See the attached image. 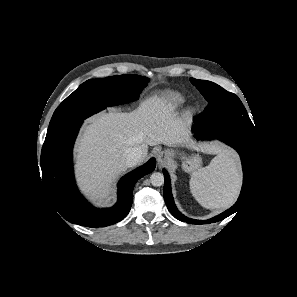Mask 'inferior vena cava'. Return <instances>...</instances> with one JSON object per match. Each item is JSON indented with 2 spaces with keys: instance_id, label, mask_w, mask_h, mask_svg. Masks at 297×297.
Segmentation results:
<instances>
[{
  "instance_id": "602c4592",
  "label": "inferior vena cava",
  "mask_w": 297,
  "mask_h": 297,
  "mask_svg": "<svg viewBox=\"0 0 297 297\" xmlns=\"http://www.w3.org/2000/svg\"><path fill=\"white\" fill-rule=\"evenodd\" d=\"M143 151L141 148L136 147L129 150L126 156V166L132 167L143 160Z\"/></svg>"
}]
</instances>
